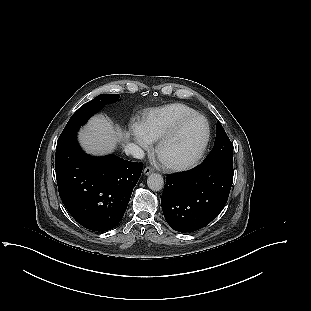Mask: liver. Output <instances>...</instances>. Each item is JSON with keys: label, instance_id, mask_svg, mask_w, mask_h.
<instances>
[{"label": "liver", "instance_id": "6515ba94", "mask_svg": "<svg viewBox=\"0 0 311 311\" xmlns=\"http://www.w3.org/2000/svg\"><path fill=\"white\" fill-rule=\"evenodd\" d=\"M121 129L104 116L93 117L79 132L82 147L92 154H105L115 149L116 144L123 138H128Z\"/></svg>", "mask_w": 311, "mask_h": 311}]
</instances>
